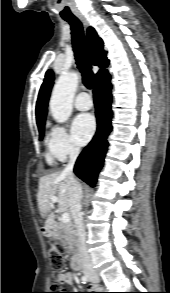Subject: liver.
<instances>
[{
	"mask_svg": "<svg viewBox=\"0 0 170 293\" xmlns=\"http://www.w3.org/2000/svg\"><path fill=\"white\" fill-rule=\"evenodd\" d=\"M52 197L58 199L59 212L72 214L69 182L63 172H55L39 179L37 201L42 218H46L44 225L46 233L55 227V214L51 212Z\"/></svg>",
	"mask_w": 170,
	"mask_h": 293,
	"instance_id": "6515ba94",
	"label": "liver"
}]
</instances>
